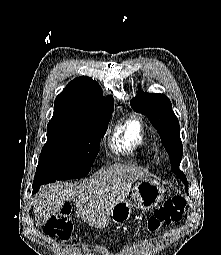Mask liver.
Wrapping results in <instances>:
<instances>
[{"label": "liver", "instance_id": "1", "mask_svg": "<svg viewBox=\"0 0 221 255\" xmlns=\"http://www.w3.org/2000/svg\"><path fill=\"white\" fill-rule=\"evenodd\" d=\"M147 172L123 164H114L92 177L75 183H55L42 188L34 200L37 226L60 212L65 202L75 200L79 216L88 225L102 229L109 223L113 207L126 200L133 182Z\"/></svg>", "mask_w": 221, "mask_h": 255}]
</instances>
